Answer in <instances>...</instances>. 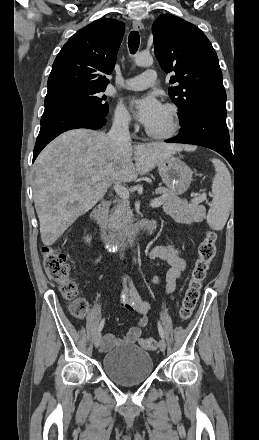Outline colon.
<instances>
[{
    "label": "colon",
    "mask_w": 259,
    "mask_h": 440,
    "mask_svg": "<svg viewBox=\"0 0 259 440\" xmlns=\"http://www.w3.org/2000/svg\"><path fill=\"white\" fill-rule=\"evenodd\" d=\"M216 233L209 230L198 248V257L191 272L188 287L184 293L179 309L181 321H187L200 297L202 282L205 279L211 261L216 255ZM43 267L47 276L59 285L62 296L70 301V311L77 318H83L88 311V303L78 298V285L71 277L70 266L64 253L52 247H43ZM140 345L146 350H154L157 347L155 339L143 337Z\"/></svg>",
    "instance_id": "1"
}]
</instances>
